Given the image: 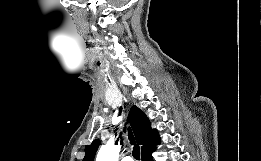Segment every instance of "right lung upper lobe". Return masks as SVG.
Here are the masks:
<instances>
[{"instance_id": "right-lung-upper-lobe-1", "label": "right lung upper lobe", "mask_w": 261, "mask_h": 161, "mask_svg": "<svg viewBox=\"0 0 261 161\" xmlns=\"http://www.w3.org/2000/svg\"><path fill=\"white\" fill-rule=\"evenodd\" d=\"M128 121L133 128L137 143L142 145V155L153 151L159 145L160 139L157 131L151 129L149 119L139 108L136 106L131 108ZM100 144L99 140H94L91 145H86L83 161H94L95 153Z\"/></svg>"}]
</instances>
